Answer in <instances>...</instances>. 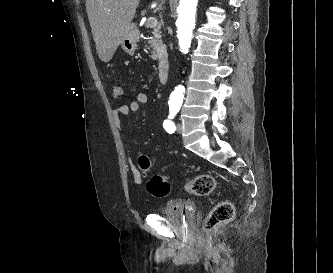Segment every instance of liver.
<instances>
[{
    "label": "liver",
    "mask_w": 333,
    "mask_h": 273,
    "mask_svg": "<svg viewBox=\"0 0 333 273\" xmlns=\"http://www.w3.org/2000/svg\"><path fill=\"white\" fill-rule=\"evenodd\" d=\"M140 0H86V11L101 61L109 62L128 34Z\"/></svg>",
    "instance_id": "6515ba94"
}]
</instances>
